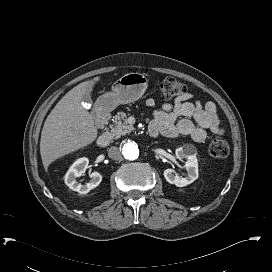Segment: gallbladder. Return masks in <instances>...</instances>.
<instances>
[{"instance_id": "gallbladder-1", "label": "gallbladder", "mask_w": 272, "mask_h": 272, "mask_svg": "<svg viewBox=\"0 0 272 272\" xmlns=\"http://www.w3.org/2000/svg\"><path fill=\"white\" fill-rule=\"evenodd\" d=\"M83 101L87 102L88 104L92 103L91 96H90V91L88 94H86L83 98Z\"/></svg>"}]
</instances>
